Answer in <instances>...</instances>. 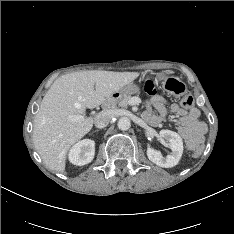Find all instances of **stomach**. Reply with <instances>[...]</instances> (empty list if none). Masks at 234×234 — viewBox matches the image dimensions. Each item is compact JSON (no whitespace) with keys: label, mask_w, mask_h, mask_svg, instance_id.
<instances>
[{"label":"stomach","mask_w":234,"mask_h":234,"mask_svg":"<svg viewBox=\"0 0 234 234\" xmlns=\"http://www.w3.org/2000/svg\"><path fill=\"white\" fill-rule=\"evenodd\" d=\"M138 92H139V87L134 82H130L126 84L125 86H123L118 91H116L115 93H117L119 97L121 98L125 95H132Z\"/></svg>","instance_id":"0dacf381"}]
</instances>
